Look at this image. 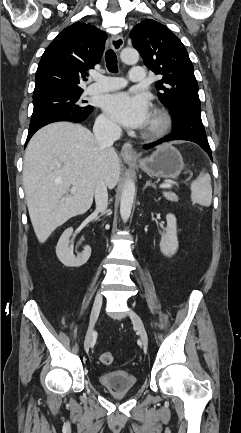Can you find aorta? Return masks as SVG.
Masks as SVG:
<instances>
[{
  "label": "aorta",
  "instance_id": "obj_1",
  "mask_svg": "<svg viewBox=\"0 0 241 433\" xmlns=\"http://www.w3.org/2000/svg\"><path fill=\"white\" fill-rule=\"evenodd\" d=\"M120 58L126 64H136L139 60V53L133 48H125L121 51ZM135 191L134 181L130 178L127 179L124 183L120 200V215L124 222L130 217Z\"/></svg>",
  "mask_w": 241,
  "mask_h": 433
}]
</instances>
